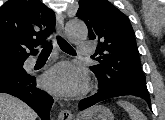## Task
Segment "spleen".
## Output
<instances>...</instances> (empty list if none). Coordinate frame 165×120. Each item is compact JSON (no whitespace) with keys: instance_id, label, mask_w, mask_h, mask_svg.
<instances>
[{"instance_id":"3e777b00","label":"spleen","mask_w":165,"mask_h":120,"mask_svg":"<svg viewBox=\"0 0 165 120\" xmlns=\"http://www.w3.org/2000/svg\"><path fill=\"white\" fill-rule=\"evenodd\" d=\"M117 104L121 106L125 111H127L131 120H147L146 116L132 103L128 101L119 100Z\"/></svg>"}]
</instances>
